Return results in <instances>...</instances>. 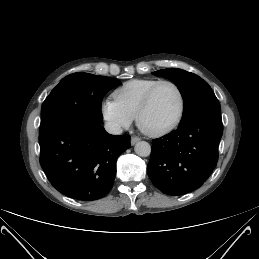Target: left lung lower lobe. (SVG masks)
<instances>
[{
	"mask_svg": "<svg viewBox=\"0 0 259 259\" xmlns=\"http://www.w3.org/2000/svg\"><path fill=\"white\" fill-rule=\"evenodd\" d=\"M222 119L200 117L153 140L148 176L171 196L190 193L209 178L218 161Z\"/></svg>",
	"mask_w": 259,
	"mask_h": 259,
	"instance_id": "1",
	"label": "left lung lower lobe"
}]
</instances>
